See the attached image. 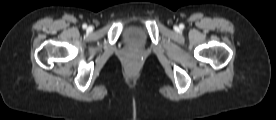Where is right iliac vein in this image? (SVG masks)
Instances as JSON below:
<instances>
[{
	"instance_id": "right-iliac-vein-1",
	"label": "right iliac vein",
	"mask_w": 276,
	"mask_h": 120,
	"mask_svg": "<svg viewBox=\"0 0 276 120\" xmlns=\"http://www.w3.org/2000/svg\"><path fill=\"white\" fill-rule=\"evenodd\" d=\"M92 29H93V28H92L91 26L88 28L89 31H91Z\"/></svg>"
}]
</instances>
